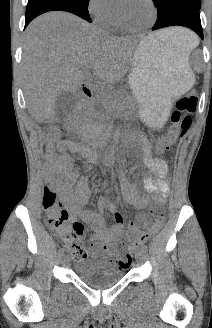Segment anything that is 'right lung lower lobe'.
Returning <instances> with one entry per match:
<instances>
[{"mask_svg":"<svg viewBox=\"0 0 212 328\" xmlns=\"http://www.w3.org/2000/svg\"><path fill=\"white\" fill-rule=\"evenodd\" d=\"M89 1L84 0H28L25 27L37 16L48 11L71 12L91 22L88 12Z\"/></svg>","mask_w":212,"mask_h":328,"instance_id":"98d812e1","label":"right lung lower lobe"}]
</instances>
